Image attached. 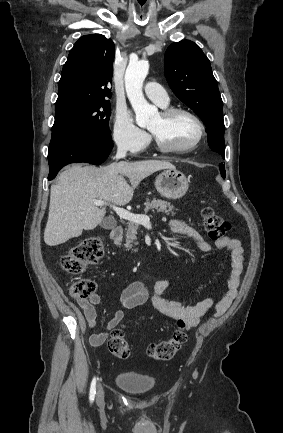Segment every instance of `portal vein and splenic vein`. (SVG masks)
Instances as JSON below:
<instances>
[{"mask_svg": "<svg viewBox=\"0 0 283 433\" xmlns=\"http://www.w3.org/2000/svg\"><path fill=\"white\" fill-rule=\"evenodd\" d=\"M93 204L96 206H102V204H107L105 200H93ZM113 210L119 214L120 219H126V221H131V223H139V225H147L150 223L147 214H134V212H129L125 208H119V206H112Z\"/></svg>", "mask_w": 283, "mask_h": 433, "instance_id": "portal-vein-and-splenic-vein-1", "label": "portal vein and splenic vein"}]
</instances>
